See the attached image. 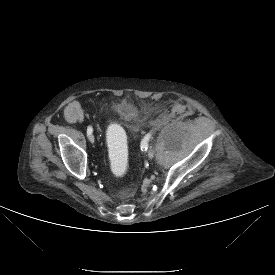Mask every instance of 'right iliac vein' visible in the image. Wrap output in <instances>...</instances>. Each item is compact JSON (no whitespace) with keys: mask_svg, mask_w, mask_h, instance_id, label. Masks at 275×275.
Returning <instances> with one entry per match:
<instances>
[{"mask_svg":"<svg viewBox=\"0 0 275 275\" xmlns=\"http://www.w3.org/2000/svg\"><path fill=\"white\" fill-rule=\"evenodd\" d=\"M89 141H90L91 143H94V142H95V138H94L93 135H89Z\"/></svg>","mask_w":275,"mask_h":275,"instance_id":"1","label":"right iliac vein"}]
</instances>
